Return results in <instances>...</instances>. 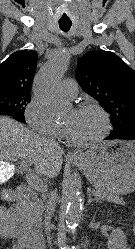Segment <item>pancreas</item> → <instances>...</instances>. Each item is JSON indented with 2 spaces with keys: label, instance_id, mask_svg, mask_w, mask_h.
I'll return each mask as SVG.
<instances>
[{
  "label": "pancreas",
  "instance_id": "cf45deb5",
  "mask_svg": "<svg viewBox=\"0 0 135 249\" xmlns=\"http://www.w3.org/2000/svg\"><path fill=\"white\" fill-rule=\"evenodd\" d=\"M97 199H106L108 202H112L115 204L124 205L125 202L123 198L119 196H114L111 194H106L101 191H93ZM43 210V202L39 200H34L33 202L29 203L26 206V214L30 219H35L36 221L39 220L41 212Z\"/></svg>",
  "mask_w": 135,
  "mask_h": 249
}]
</instances>
